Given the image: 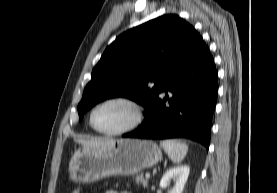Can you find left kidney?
Returning <instances> with one entry per match:
<instances>
[{
  "mask_svg": "<svg viewBox=\"0 0 277 193\" xmlns=\"http://www.w3.org/2000/svg\"><path fill=\"white\" fill-rule=\"evenodd\" d=\"M190 168L188 165H180L170 168L165 172L160 180V187L167 188L171 180L174 181V186L170 189L169 193H182L185 183L188 179Z\"/></svg>",
  "mask_w": 277,
  "mask_h": 193,
  "instance_id": "5707ae66",
  "label": "left kidney"
}]
</instances>
